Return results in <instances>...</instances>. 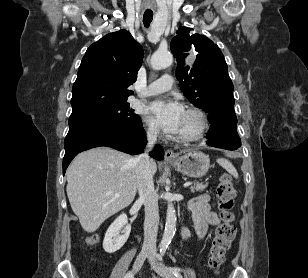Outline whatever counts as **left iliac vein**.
<instances>
[{
  "mask_svg": "<svg viewBox=\"0 0 308 278\" xmlns=\"http://www.w3.org/2000/svg\"><path fill=\"white\" fill-rule=\"evenodd\" d=\"M149 261L151 263V266L153 270L160 276L164 278H175L174 274L167 269L164 265L158 264L156 262V253H151L149 256Z\"/></svg>",
  "mask_w": 308,
  "mask_h": 278,
  "instance_id": "4c4485c4",
  "label": "left iliac vein"
}]
</instances>
